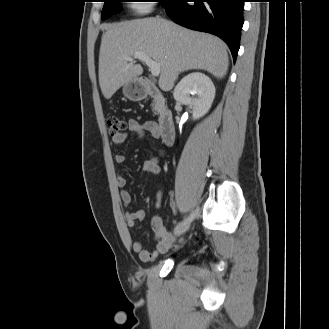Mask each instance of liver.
<instances>
[{
	"instance_id": "1",
	"label": "liver",
	"mask_w": 329,
	"mask_h": 329,
	"mask_svg": "<svg viewBox=\"0 0 329 329\" xmlns=\"http://www.w3.org/2000/svg\"><path fill=\"white\" fill-rule=\"evenodd\" d=\"M142 52L160 64L159 87L169 91L181 72L200 69L223 78L229 65L226 44L219 38L183 28L161 18H144L106 26L99 53V84L110 99L143 73L126 58Z\"/></svg>"
}]
</instances>
